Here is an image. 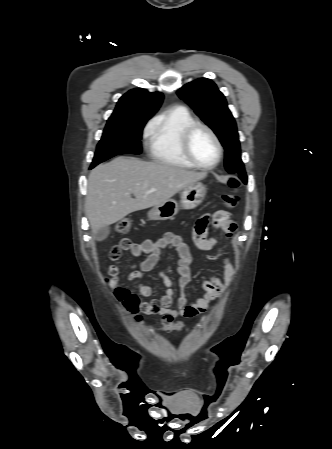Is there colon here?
<instances>
[{
  "label": "colon",
  "mask_w": 332,
  "mask_h": 449,
  "mask_svg": "<svg viewBox=\"0 0 332 449\" xmlns=\"http://www.w3.org/2000/svg\"><path fill=\"white\" fill-rule=\"evenodd\" d=\"M238 180L234 177L228 179V186L231 191L222 195V201L227 208H234L238 205L240 196L238 194ZM132 223L128 219L121 220L117 226L116 230L119 233H128L131 231ZM128 239L122 240L118 245L114 246L109 252L110 260L117 262L120 260L123 250L128 247ZM115 294L118 300L122 301L125 306L132 312L137 313L138 311V300L135 295L131 294L127 289L123 287H118L115 290ZM160 327L166 332H175L182 329V323L180 321L174 320L170 315H164L160 319Z\"/></svg>",
  "instance_id": "obj_1"
}]
</instances>
